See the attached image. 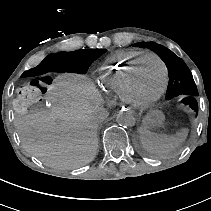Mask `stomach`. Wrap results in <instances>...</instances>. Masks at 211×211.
Masks as SVG:
<instances>
[{
	"instance_id": "1",
	"label": "stomach",
	"mask_w": 211,
	"mask_h": 211,
	"mask_svg": "<svg viewBox=\"0 0 211 211\" xmlns=\"http://www.w3.org/2000/svg\"><path fill=\"white\" fill-rule=\"evenodd\" d=\"M164 115L159 111H151L148 113L143 120V124L146 127L159 126L163 123Z\"/></svg>"
}]
</instances>
